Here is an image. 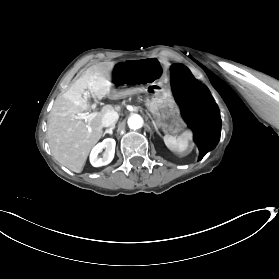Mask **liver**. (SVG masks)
<instances>
[{
	"mask_svg": "<svg viewBox=\"0 0 279 279\" xmlns=\"http://www.w3.org/2000/svg\"><path fill=\"white\" fill-rule=\"evenodd\" d=\"M114 66L110 69L89 68L68 91L57 96L48 115L47 140L55 160L72 172L81 173L91 149L103 136L102 117L112 104L101 106L90 120L79 119L87 114L90 105L83 97L89 89L94 98L102 100L112 92L110 81Z\"/></svg>",
	"mask_w": 279,
	"mask_h": 279,
	"instance_id": "obj_1",
	"label": "liver"
}]
</instances>
